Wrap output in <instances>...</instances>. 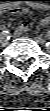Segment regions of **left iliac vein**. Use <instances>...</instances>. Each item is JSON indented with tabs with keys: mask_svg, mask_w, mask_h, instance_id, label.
<instances>
[{
	"mask_svg": "<svg viewBox=\"0 0 50 111\" xmlns=\"http://www.w3.org/2000/svg\"><path fill=\"white\" fill-rule=\"evenodd\" d=\"M36 40H37V42H38L39 44H43V43H44V40H43V38H41V37H37Z\"/></svg>",
	"mask_w": 50,
	"mask_h": 111,
	"instance_id": "left-iliac-vein-1",
	"label": "left iliac vein"
}]
</instances>
